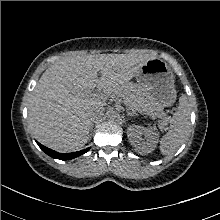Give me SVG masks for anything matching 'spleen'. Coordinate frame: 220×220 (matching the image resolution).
<instances>
[{"instance_id":"1","label":"spleen","mask_w":220,"mask_h":220,"mask_svg":"<svg viewBox=\"0 0 220 220\" xmlns=\"http://www.w3.org/2000/svg\"><path fill=\"white\" fill-rule=\"evenodd\" d=\"M190 128V107L186 95L179 99V106L170 119L168 132L160 140V151L163 155L174 154L185 142Z\"/></svg>"}]
</instances>
